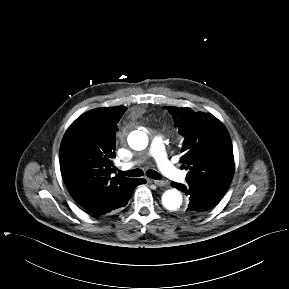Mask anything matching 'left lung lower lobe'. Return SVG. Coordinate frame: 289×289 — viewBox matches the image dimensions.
I'll return each instance as SVG.
<instances>
[{"label":"left lung lower lobe","mask_w":289,"mask_h":289,"mask_svg":"<svg viewBox=\"0 0 289 289\" xmlns=\"http://www.w3.org/2000/svg\"><path fill=\"white\" fill-rule=\"evenodd\" d=\"M171 186L183 191L189 196L188 207L183 211L186 216H199L215 206L223 196L216 190L194 185H182L172 182Z\"/></svg>","instance_id":"1"}]
</instances>
